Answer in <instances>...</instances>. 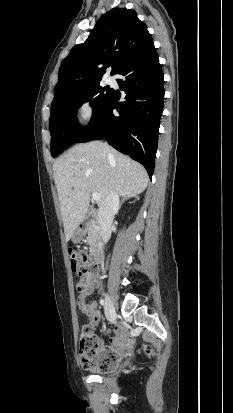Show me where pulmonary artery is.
Listing matches in <instances>:
<instances>
[{"label":"pulmonary artery","mask_w":233,"mask_h":413,"mask_svg":"<svg viewBox=\"0 0 233 413\" xmlns=\"http://www.w3.org/2000/svg\"><path fill=\"white\" fill-rule=\"evenodd\" d=\"M107 83H108V84H113V83H114V80H113L112 78H108V79H107Z\"/></svg>","instance_id":"pulmonary-artery-1"}]
</instances>
